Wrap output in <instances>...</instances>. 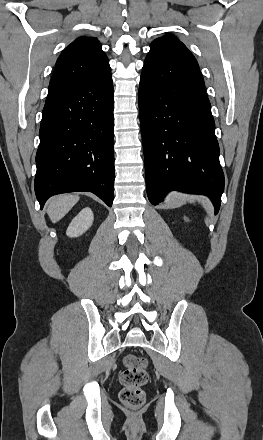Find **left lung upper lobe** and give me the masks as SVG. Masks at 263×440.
<instances>
[{
	"label": "left lung upper lobe",
	"instance_id": "obj_1",
	"mask_svg": "<svg viewBox=\"0 0 263 440\" xmlns=\"http://www.w3.org/2000/svg\"><path fill=\"white\" fill-rule=\"evenodd\" d=\"M168 46H174L179 49L185 56H187L191 61L198 65L195 57L187 49V47L175 36L166 35L161 38L155 39L150 45V51L145 59L146 62H154L159 56L163 54Z\"/></svg>",
	"mask_w": 263,
	"mask_h": 440
}]
</instances>
